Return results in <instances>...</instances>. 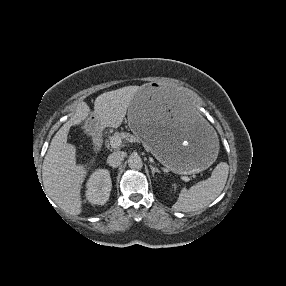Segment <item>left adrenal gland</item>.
Listing matches in <instances>:
<instances>
[{
    "label": "left adrenal gland",
    "instance_id": "obj_1",
    "mask_svg": "<svg viewBox=\"0 0 286 286\" xmlns=\"http://www.w3.org/2000/svg\"><path fill=\"white\" fill-rule=\"evenodd\" d=\"M150 169H151L153 177H154L155 173H159V174L161 173V171L158 168L154 167L153 165H150Z\"/></svg>",
    "mask_w": 286,
    "mask_h": 286
}]
</instances>
